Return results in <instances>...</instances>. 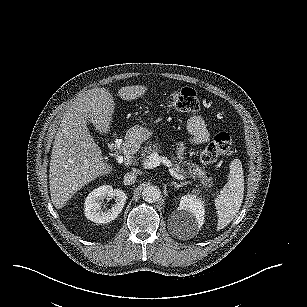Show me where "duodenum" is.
Here are the masks:
<instances>
[{
  "label": "duodenum",
  "mask_w": 307,
  "mask_h": 307,
  "mask_svg": "<svg viewBox=\"0 0 307 307\" xmlns=\"http://www.w3.org/2000/svg\"><path fill=\"white\" fill-rule=\"evenodd\" d=\"M136 152L135 143L128 141L123 146L124 162L127 166L131 165L134 154Z\"/></svg>",
  "instance_id": "duodenum-1"
}]
</instances>
